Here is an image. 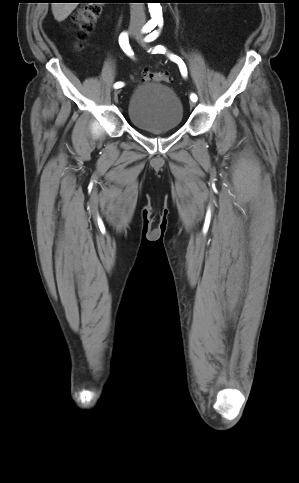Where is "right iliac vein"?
I'll return each instance as SVG.
<instances>
[{"instance_id": "1", "label": "right iliac vein", "mask_w": 299, "mask_h": 483, "mask_svg": "<svg viewBox=\"0 0 299 483\" xmlns=\"http://www.w3.org/2000/svg\"><path fill=\"white\" fill-rule=\"evenodd\" d=\"M130 34H131L132 36H134V37H138V35H139L138 31H137V30H133V29H131V30H130ZM119 93H120V91H118V90H116V91L114 92V100H115L116 102L118 101V95H119Z\"/></svg>"}]
</instances>
